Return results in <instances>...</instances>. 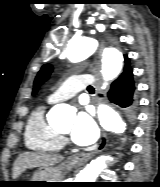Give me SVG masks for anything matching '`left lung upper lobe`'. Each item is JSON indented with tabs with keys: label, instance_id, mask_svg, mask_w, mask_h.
<instances>
[{
	"label": "left lung upper lobe",
	"instance_id": "obj_1",
	"mask_svg": "<svg viewBox=\"0 0 160 187\" xmlns=\"http://www.w3.org/2000/svg\"><path fill=\"white\" fill-rule=\"evenodd\" d=\"M124 57L128 58L127 55H124ZM52 72V67L50 65H44L41 70L38 72V75L36 76L35 82H34V90L33 95L37 92L39 86L47 80L50 73Z\"/></svg>",
	"mask_w": 160,
	"mask_h": 187
}]
</instances>
